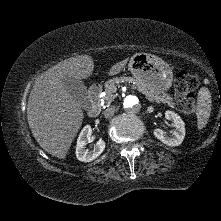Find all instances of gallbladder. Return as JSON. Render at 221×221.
Returning a JSON list of instances; mask_svg holds the SVG:
<instances>
[{
	"instance_id": "gallbladder-1",
	"label": "gallbladder",
	"mask_w": 221,
	"mask_h": 221,
	"mask_svg": "<svg viewBox=\"0 0 221 221\" xmlns=\"http://www.w3.org/2000/svg\"><path fill=\"white\" fill-rule=\"evenodd\" d=\"M66 91L85 109L89 108L87 88L81 80L65 77L63 79Z\"/></svg>"
}]
</instances>
